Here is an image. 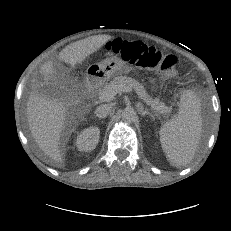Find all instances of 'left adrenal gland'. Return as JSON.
Wrapping results in <instances>:
<instances>
[{"label": "left adrenal gland", "mask_w": 231, "mask_h": 231, "mask_svg": "<svg viewBox=\"0 0 231 231\" xmlns=\"http://www.w3.org/2000/svg\"><path fill=\"white\" fill-rule=\"evenodd\" d=\"M140 114L141 116H146L148 115L149 117H151L153 120L155 118V116L153 114H151L148 110H145L143 107L140 108Z\"/></svg>", "instance_id": "left-adrenal-gland-1"}]
</instances>
